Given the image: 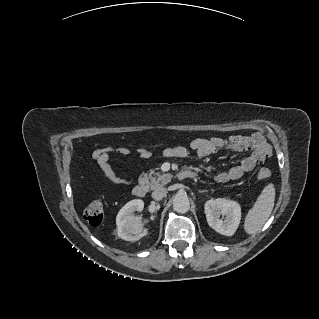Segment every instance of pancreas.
Instances as JSON below:
<instances>
[{"mask_svg": "<svg viewBox=\"0 0 319 319\" xmlns=\"http://www.w3.org/2000/svg\"><path fill=\"white\" fill-rule=\"evenodd\" d=\"M171 180L170 174H162L160 172L148 173L145 176V185L151 190L166 185Z\"/></svg>", "mask_w": 319, "mask_h": 319, "instance_id": "cf45deb5", "label": "pancreas"}]
</instances>
